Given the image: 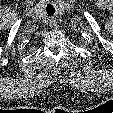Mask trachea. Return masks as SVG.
I'll use <instances>...</instances> for the list:
<instances>
[{
	"label": "trachea",
	"mask_w": 113,
	"mask_h": 113,
	"mask_svg": "<svg viewBox=\"0 0 113 113\" xmlns=\"http://www.w3.org/2000/svg\"><path fill=\"white\" fill-rule=\"evenodd\" d=\"M50 10H51V6H48L47 7V13H48L49 16L54 14V11L53 10L50 11Z\"/></svg>",
	"instance_id": "3493384b"
}]
</instances>
